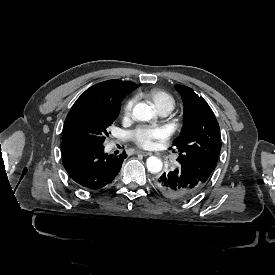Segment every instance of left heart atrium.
Returning <instances> with one entry per match:
<instances>
[{"label":"left heart atrium","mask_w":275,"mask_h":275,"mask_svg":"<svg viewBox=\"0 0 275 275\" xmlns=\"http://www.w3.org/2000/svg\"><path fill=\"white\" fill-rule=\"evenodd\" d=\"M128 135L137 146L149 149L167 140L170 131L164 126L143 125L130 131Z\"/></svg>","instance_id":"left-heart-atrium-1"}]
</instances>
